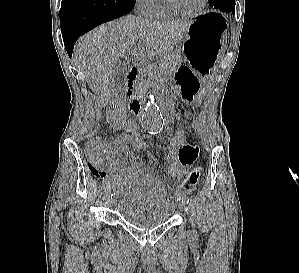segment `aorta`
<instances>
[{"instance_id": "aorta-1", "label": "aorta", "mask_w": 299, "mask_h": 273, "mask_svg": "<svg viewBox=\"0 0 299 273\" xmlns=\"http://www.w3.org/2000/svg\"><path fill=\"white\" fill-rule=\"evenodd\" d=\"M142 128L153 135L160 133L163 129L164 120L160 107L154 94H150L141 115Z\"/></svg>"}]
</instances>
